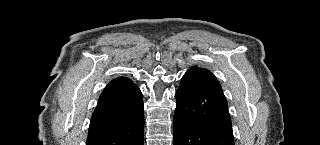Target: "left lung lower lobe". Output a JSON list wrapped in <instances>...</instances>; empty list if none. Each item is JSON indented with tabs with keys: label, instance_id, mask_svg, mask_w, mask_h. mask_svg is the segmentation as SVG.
I'll return each instance as SVG.
<instances>
[{
	"label": "left lung lower lobe",
	"instance_id": "left-lung-lower-lobe-1",
	"mask_svg": "<svg viewBox=\"0 0 320 145\" xmlns=\"http://www.w3.org/2000/svg\"><path fill=\"white\" fill-rule=\"evenodd\" d=\"M174 145H234L227 100L216 77L194 66L176 92Z\"/></svg>",
	"mask_w": 320,
	"mask_h": 145
}]
</instances>
